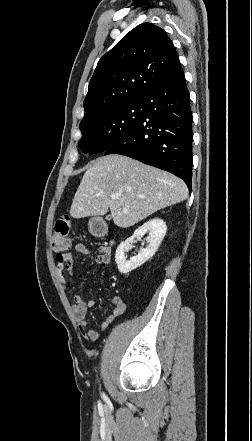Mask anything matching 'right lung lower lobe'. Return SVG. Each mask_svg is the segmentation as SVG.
I'll list each match as a JSON object with an SVG mask.
<instances>
[{
  "mask_svg": "<svg viewBox=\"0 0 252 441\" xmlns=\"http://www.w3.org/2000/svg\"><path fill=\"white\" fill-rule=\"evenodd\" d=\"M139 123L105 151L137 159L192 181V112L183 69L178 67L142 97Z\"/></svg>",
  "mask_w": 252,
  "mask_h": 441,
  "instance_id": "right-lung-lower-lobe-1",
  "label": "right lung lower lobe"
}]
</instances>
